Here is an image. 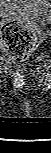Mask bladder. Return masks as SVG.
<instances>
[{"mask_svg": "<svg viewBox=\"0 0 51 153\" xmlns=\"http://www.w3.org/2000/svg\"><path fill=\"white\" fill-rule=\"evenodd\" d=\"M0 11L27 22L46 23L51 18L49 0H0Z\"/></svg>", "mask_w": 51, "mask_h": 153, "instance_id": "obj_1", "label": "bladder"}]
</instances>
